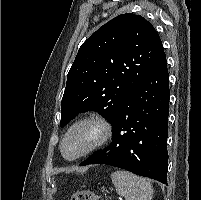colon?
I'll return each instance as SVG.
<instances>
[{
  "label": "colon",
  "mask_w": 201,
  "mask_h": 200,
  "mask_svg": "<svg viewBox=\"0 0 201 200\" xmlns=\"http://www.w3.org/2000/svg\"><path fill=\"white\" fill-rule=\"evenodd\" d=\"M71 200H102L92 191H76L72 194Z\"/></svg>",
  "instance_id": "colon-1"
}]
</instances>
